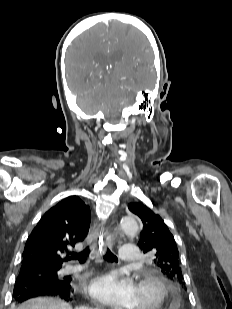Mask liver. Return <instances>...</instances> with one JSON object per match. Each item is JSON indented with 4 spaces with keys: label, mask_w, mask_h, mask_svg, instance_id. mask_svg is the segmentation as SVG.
Instances as JSON below:
<instances>
[{
    "label": "liver",
    "mask_w": 232,
    "mask_h": 309,
    "mask_svg": "<svg viewBox=\"0 0 232 309\" xmlns=\"http://www.w3.org/2000/svg\"><path fill=\"white\" fill-rule=\"evenodd\" d=\"M17 309H72V307L59 299L39 297L28 300Z\"/></svg>",
    "instance_id": "obj_1"
}]
</instances>
